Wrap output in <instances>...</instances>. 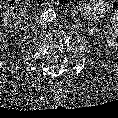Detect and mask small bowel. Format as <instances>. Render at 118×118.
I'll return each instance as SVG.
<instances>
[{"mask_svg":"<svg viewBox=\"0 0 118 118\" xmlns=\"http://www.w3.org/2000/svg\"><path fill=\"white\" fill-rule=\"evenodd\" d=\"M83 13L94 22H98L100 17L105 14L109 5L105 0H89L81 7ZM107 42L110 47H116L118 44V9L112 17V28L106 34Z\"/></svg>","mask_w":118,"mask_h":118,"instance_id":"small-bowel-1","label":"small bowel"}]
</instances>
